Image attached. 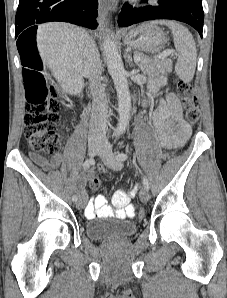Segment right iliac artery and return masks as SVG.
<instances>
[{
  "label": "right iliac artery",
  "instance_id": "1",
  "mask_svg": "<svg viewBox=\"0 0 227 298\" xmlns=\"http://www.w3.org/2000/svg\"><path fill=\"white\" fill-rule=\"evenodd\" d=\"M93 164V159H87L84 163H83V168L84 169H88L91 165ZM72 200L75 202L78 200V197L76 195H74L72 197Z\"/></svg>",
  "mask_w": 227,
  "mask_h": 298
}]
</instances>
